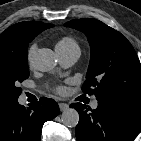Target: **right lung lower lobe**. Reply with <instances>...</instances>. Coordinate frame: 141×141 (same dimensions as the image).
<instances>
[{
    "mask_svg": "<svg viewBox=\"0 0 141 141\" xmlns=\"http://www.w3.org/2000/svg\"><path fill=\"white\" fill-rule=\"evenodd\" d=\"M59 113L58 104L41 98L29 108L18 101L0 105V141H41L43 124Z\"/></svg>",
    "mask_w": 141,
    "mask_h": 141,
    "instance_id": "right-lung-lower-lobe-1",
    "label": "right lung lower lobe"
}]
</instances>
